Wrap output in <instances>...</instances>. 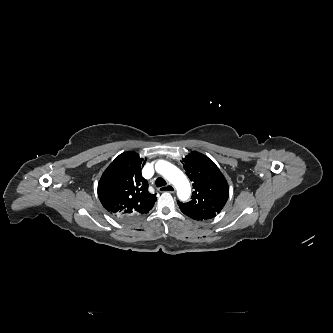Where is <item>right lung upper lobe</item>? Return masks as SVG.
<instances>
[{"label": "right lung upper lobe", "instance_id": "obj_1", "mask_svg": "<svg viewBox=\"0 0 333 333\" xmlns=\"http://www.w3.org/2000/svg\"><path fill=\"white\" fill-rule=\"evenodd\" d=\"M144 163L137 153L124 152L102 174L98 197L111 215L138 216L152 209L157 198L148 191V183L142 177Z\"/></svg>", "mask_w": 333, "mask_h": 333}]
</instances>
